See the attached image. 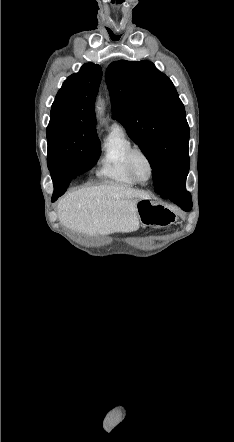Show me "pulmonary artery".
Instances as JSON below:
<instances>
[{
  "mask_svg": "<svg viewBox=\"0 0 234 442\" xmlns=\"http://www.w3.org/2000/svg\"><path fill=\"white\" fill-rule=\"evenodd\" d=\"M114 126L119 127L120 125L118 123H116Z\"/></svg>",
  "mask_w": 234,
  "mask_h": 442,
  "instance_id": "pulmonary-artery-1",
  "label": "pulmonary artery"
}]
</instances>
